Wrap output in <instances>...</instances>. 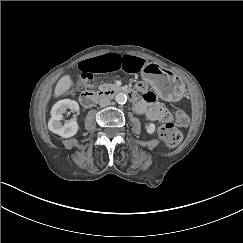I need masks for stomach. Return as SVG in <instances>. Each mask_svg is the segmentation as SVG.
Returning <instances> with one entry per match:
<instances>
[{
	"instance_id": "stomach-1",
	"label": "stomach",
	"mask_w": 243,
	"mask_h": 243,
	"mask_svg": "<svg viewBox=\"0 0 243 243\" xmlns=\"http://www.w3.org/2000/svg\"><path fill=\"white\" fill-rule=\"evenodd\" d=\"M144 81L149 83L165 100L177 101L184 94V84L177 75L156 63H148L141 68Z\"/></svg>"
}]
</instances>
